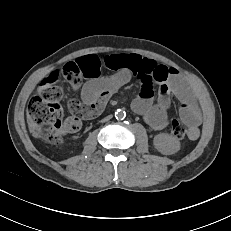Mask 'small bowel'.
I'll use <instances>...</instances> for the list:
<instances>
[{
    "instance_id": "small-bowel-1",
    "label": "small bowel",
    "mask_w": 231,
    "mask_h": 231,
    "mask_svg": "<svg viewBox=\"0 0 231 231\" xmlns=\"http://www.w3.org/2000/svg\"><path fill=\"white\" fill-rule=\"evenodd\" d=\"M61 72L73 90L80 91V98L74 97L68 103L72 115L66 119V132L75 133L83 120L98 116L107 100L136 77L141 81V89L131 107L151 129L161 130L168 125L170 94H174L180 101L181 119L188 126V138L199 137L201 114L198 105L180 73L172 67L137 54L118 53L103 57L91 54L66 63ZM59 75V71L52 72L44 82L53 83ZM156 85L159 92L154 103Z\"/></svg>"
}]
</instances>
